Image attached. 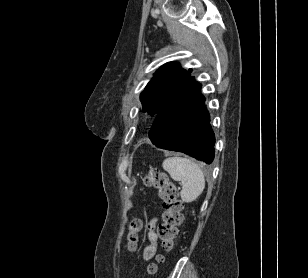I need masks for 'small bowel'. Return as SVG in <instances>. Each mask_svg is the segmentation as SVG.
I'll list each match as a JSON object with an SVG mask.
<instances>
[{
	"label": "small bowel",
	"instance_id": "obj_1",
	"mask_svg": "<svg viewBox=\"0 0 308 278\" xmlns=\"http://www.w3.org/2000/svg\"><path fill=\"white\" fill-rule=\"evenodd\" d=\"M157 219H153L148 224V239L150 244L144 249L143 256L145 259H150L155 255L157 235L155 233Z\"/></svg>",
	"mask_w": 308,
	"mask_h": 278
}]
</instances>
